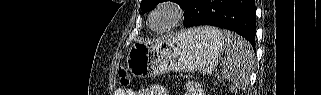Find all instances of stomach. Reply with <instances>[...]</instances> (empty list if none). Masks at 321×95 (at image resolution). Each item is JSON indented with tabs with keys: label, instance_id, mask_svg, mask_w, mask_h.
Segmentation results:
<instances>
[{
	"label": "stomach",
	"instance_id": "stomach-1",
	"mask_svg": "<svg viewBox=\"0 0 321 95\" xmlns=\"http://www.w3.org/2000/svg\"><path fill=\"white\" fill-rule=\"evenodd\" d=\"M222 52V42L190 29L155 41L134 42L126 63L128 69L140 77L169 71L208 74L216 67Z\"/></svg>",
	"mask_w": 321,
	"mask_h": 95
}]
</instances>
